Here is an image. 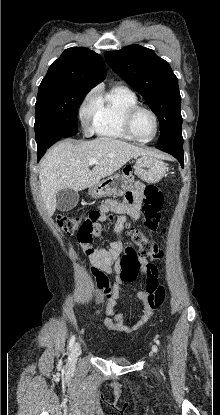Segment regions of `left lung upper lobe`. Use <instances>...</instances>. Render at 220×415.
<instances>
[{
  "mask_svg": "<svg viewBox=\"0 0 220 415\" xmlns=\"http://www.w3.org/2000/svg\"><path fill=\"white\" fill-rule=\"evenodd\" d=\"M105 58L114 72L138 91L157 115L161 127L160 144L182 142L181 96L178 79L169 63L140 45L108 51Z\"/></svg>",
  "mask_w": 220,
  "mask_h": 415,
  "instance_id": "1",
  "label": "left lung upper lobe"
}]
</instances>
